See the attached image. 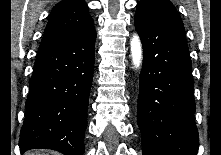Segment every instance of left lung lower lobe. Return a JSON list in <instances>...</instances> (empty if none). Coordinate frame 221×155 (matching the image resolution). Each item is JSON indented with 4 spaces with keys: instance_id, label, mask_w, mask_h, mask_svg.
Instances as JSON below:
<instances>
[{
    "instance_id": "0a47b994",
    "label": "left lung lower lobe",
    "mask_w": 221,
    "mask_h": 155,
    "mask_svg": "<svg viewBox=\"0 0 221 155\" xmlns=\"http://www.w3.org/2000/svg\"><path fill=\"white\" fill-rule=\"evenodd\" d=\"M143 45L137 123L143 155H197L194 81L183 24L137 6Z\"/></svg>"
}]
</instances>
